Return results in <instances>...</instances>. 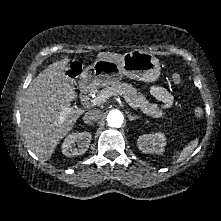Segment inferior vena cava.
I'll list each match as a JSON object with an SVG mask.
<instances>
[{"label":"inferior vena cava","mask_w":221,"mask_h":221,"mask_svg":"<svg viewBox=\"0 0 221 221\" xmlns=\"http://www.w3.org/2000/svg\"><path fill=\"white\" fill-rule=\"evenodd\" d=\"M99 117H100V110H89L84 114L83 120L86 124H93L97 122Z\"/></svg>","instance_id":"602c4592"}]
</instances>
